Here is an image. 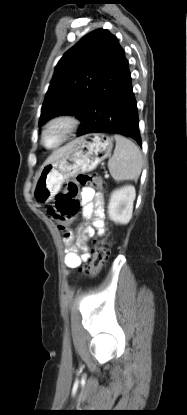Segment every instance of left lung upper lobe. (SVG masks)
I'll use <instances>...</instances> for the list:
<instances>
[{"mask_svg": "<svg viewBox=\"0 0 187 415\" xmlns=\"http://www.w3.org/2000/svg\"><path fill=\"white\" fill-rule=\"evenodd\" d=\"M116 42L108 30L98 29L64 54L55 67L39 126L58 115L75 116L81 121L89 114L95 115L90 98Z\"/></svg>", "mask_w": 187, "mask_h": 415, "instance_id": "obj_1", "label": "left lung upper lobe"}]
</instances>
